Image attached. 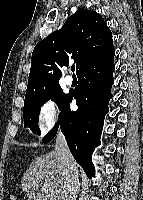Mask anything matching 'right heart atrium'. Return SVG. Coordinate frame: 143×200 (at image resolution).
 <instances>
[{"mask_svg": "<svg viewBox=\"0 0 143 200\" xmlns=\"http://www.w3.org/2000/svg\"><path fill=\"white\" fill-rule=\"evenodd\" d=\"M60 121V114L54 98L49 97L41 102L37 111L38 134L47 136Z\"/></svg>", "mask_w": 143, "mask_h": 200, "instance_id": "1", "label": "right heart atrium"}]
</instances>
